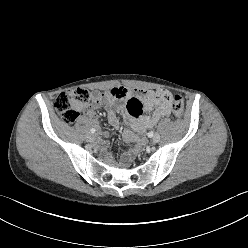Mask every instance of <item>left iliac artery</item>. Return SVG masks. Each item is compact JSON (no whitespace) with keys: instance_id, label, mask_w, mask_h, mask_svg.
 I'll list each match as a JSON object with an SVG mask.
<instances>
[{"instance_id":"left-iliac-artery-1","label":"left iliac artery","mask_w":248,"mask_h":248,"mask_svg":"<svg viewBox=\"0 0 248 248\" xmlns=\"http://www.w3.org/2000/svg\"><path fill=\"white\" fill-rule=\"evenodd\" d=\"M154 136V131H150L149 133H148V137H153Z\"/></svg>"}]
</instances>
